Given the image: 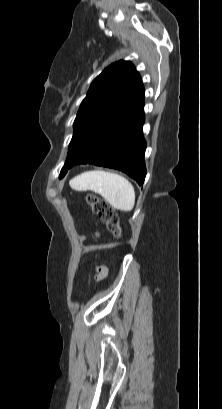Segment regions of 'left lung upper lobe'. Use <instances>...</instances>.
<instances>
[{
	"label": "left lung upper lobe",
	"mask_w": 222,
	"mask_h": 409,
	"mask_svg": "<svg viewBox=\"0 0 222 409\" xmlns=\"http://www.w3.org/2000/svg\"><path fill=\"white\" fill-rule=\"evenodd\" d=\"M135 100L144 102V88L132 63L123 60L113 63L94 79L74 121V133L60 178L96 134Z\"/></svg>",
	"instance_id": "1"
}]
</instances>
